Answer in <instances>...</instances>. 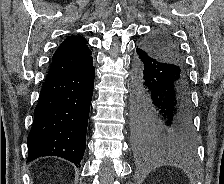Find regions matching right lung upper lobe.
Here are the masks:
<instances>
[{"mask_svg":"<svg viewBox=\"0 0 224 184\" xmlns=\"http://www.w3.org/2000/svg\"><path fill=\"white\" fill-rule=\"evenodd\" d=\"M87 40L80 36L66 38L52 57L49 76L78 71L93 61Z\"/></svg>","mask_w":224,"mask_h":184,"instance_id":"cb5924a9","label":"right lung upper lobe"}]
</instances>
